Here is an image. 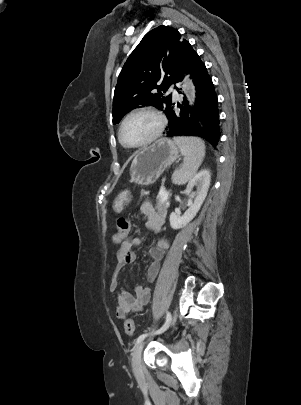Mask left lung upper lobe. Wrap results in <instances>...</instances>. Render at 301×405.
Segmentation results:
<instances>
[{
    "mask_svg": "<svg viewBox=\"0 0 301 405\" xmlns=\"http://www.w3.org/2000/svg\"><path fill=\"white\" fill-rule=\"evenodd\" d=\"M194 49L182 35L161 25L149 31L130 54L118 77L113 124L134 108L154 106L167 113L171 95L164 93L181 80ZM159 84V85H157Z\"/></svg>",
    "mask_w": 301,
    "mask_h": 405,
    "instance_id": "1",
    "label": "left lung upper lobe"
}]
</instances>
